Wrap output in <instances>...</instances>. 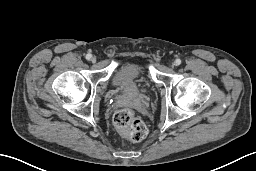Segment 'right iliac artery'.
Returning a JSON list of instances; mask_svg holds the SVG:
<instances>
[{"instance_id":"1","label":"right iliac artery","mask_w":256,"mask_h":171,"mask_svg":"<svg viewBox=\"0 0 256 171\" xmlns=\"http://www.w3.org/2000/svg\"><path fill=\"white\" fill-rule=\"evenodd\" d=\"M91 57H92V55H91V54H87V55H86V59H87V60H90V59H91Z\"/></svg>"}]
</instances>
